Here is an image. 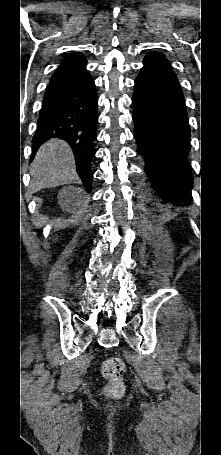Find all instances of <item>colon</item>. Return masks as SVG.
Segmentation results:
<instances>
[{
    "instance_id": "obj_1",
    "label": "colon",
    "mask_w": 221,
    "mask_h": 455,
    "mask_svg": "<svg viewBox=\"0 0 221 455\" xmlns=\"http://www.w3.org/2000/svg\"><path fill=\"white\" fill-rule=\"evenodd\" d=\"M102 374L108 380L106 394L110 397H119L124 391V362L116 356L108 357L102 365Z\"/></svg>"
}]
</instances>
